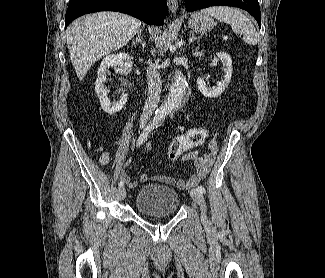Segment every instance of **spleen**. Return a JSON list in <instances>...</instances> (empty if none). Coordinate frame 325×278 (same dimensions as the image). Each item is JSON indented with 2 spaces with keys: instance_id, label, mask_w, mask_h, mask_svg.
I'll return each instance as SVG.
<instances>
[{
  "instance_id": "spleen-1",
  "label": "spleen",
  "mask_w": 325,
  "mask_h": 278,
  "mask_svg": "<svg viewBox=\"0 0 325 278\" xmlns=\"http://www.w3.org/2000/svg\"><path fill=\"white\" fill-rule=\"evenodd\" d=\"M201 13L230 24L236 34L243 35L245 43L249 45L257 44L258 33L251 21L240 10L227 6H216L203 9Z\"/></svg>"
}]
</instances>
